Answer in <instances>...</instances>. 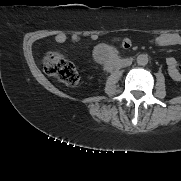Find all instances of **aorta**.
I'll return each mask as SVG.
<instances>
[{
    "mask_svg": "<svg viewBox=\"0 0 181 181\" xmlns=\"http://www.w3.org/2000/svg\"><path fill=\"white\" fill-rule=\"evenodd\" d=\"M137 64L141 66H145L148 64V55L147 54H140L136 58Z\"/></svg>",
    "mask_w": 181,
    "mask_h": 181,
    "instance_id": "1",
    "label": "aorta"
}]
</instances>
